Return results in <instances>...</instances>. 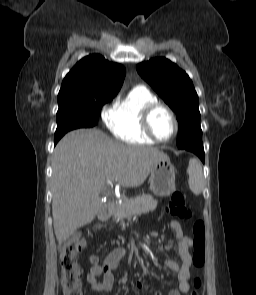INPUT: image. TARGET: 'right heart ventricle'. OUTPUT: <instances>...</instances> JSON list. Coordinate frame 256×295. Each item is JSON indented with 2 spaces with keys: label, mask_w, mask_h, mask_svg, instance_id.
<instances>
[{
  "label": "right heart ventricle",
  "mask_w": 256,
  "mask_h": 295,
  "mask_svg": "<svg viewBox=\"0 0 256 295\" xmlns=\"http://www.w3.org/2000/svg\"><path fill=\"white\" fill-rule=\"evenodd\" d=\"M157 101L156 96L146 87L132 88L108 110L105 118L108 129L122 142L153 145L155 142L142 128V113L148 105Z\"/></svg>",
  "instance_id": "right-heart-ventricle-1"
}]
</instances>
